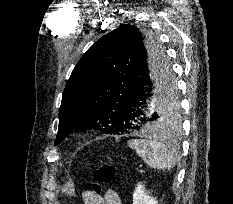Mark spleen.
Segmentation results:
<instances>
[{
  "label": "spleen",
  "instance_id": "3e777b00",
  "mask_svg": "<svg viewBox=\"0 0 233 204\" xmlns=\"http://www.w3.org/2000/svg\"><path fill=\"white\" fill-rule=\"evenodd\" d=\"M128 146L151 168L171 172L176 165L174 147H169L156 139H133L128 142Z\"/></svg>",
  "mask_w": 233,
  "mask_h": 204
}]
</instances>
